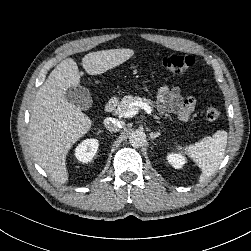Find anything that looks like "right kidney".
I'll list each match as a JSON object with an SVG mask.
<instances>
[{"label":"right kidney","mask_w":251,"mask_h":251,"mask_svg":"<svg viewBox=\"0 0 251 251\" xmlns=\"http://www.w3.org/2000/svg\"><path fill=\"white\" fill-rule=\"evenodd\" d=\"M98 146V140L86 139L75 148V156L79 161L88 163L96 154Z\"/></svg>","instance_id":"obj_1"}]
</instances>
